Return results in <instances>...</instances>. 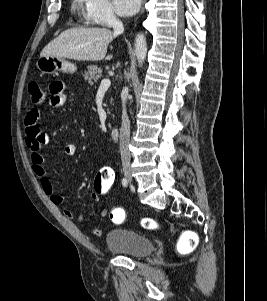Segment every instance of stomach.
Returning a JSON list of instances; mask_svg holds the SVG:
<instances>
[{"instance_id": "1", "label": "stomach", "mask_w": 267, "mask_h": 301, "mask_svg": "<svg viewBox=\"0 0 267 301\" xmlns=\"http://www.w3.org/2000/svg\"><path fill=\"white\" fill-rule=\"evenodd\" d=\"M37 68L42 73L53 74L57 72L74 73L77 70L75 64L59 57H40L36 62Z\"/></svg>"}]
</instances>
